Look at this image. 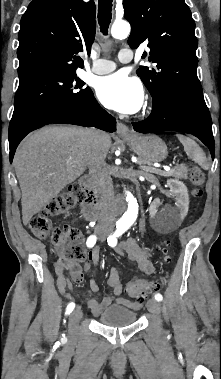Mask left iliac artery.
Wrapping results in <instances>:
<instances>
[{"label": "left iliac artery", "instance_id": "left-iliac-artery-1", "mask_svg": "<svg viewBox=\"0 0 221 379\" xmlns=\"http://www.w3.org/2000/svg\"><path fill=\"white\" fill-rule=\"evenodd\" d=\"M125 231L126 229L124 227H117V230L108 237L107 239L108 245L111 247H115L117 245V238L121 236ZM154 298L157 301L163 300V296L160 293H156Z\"/></svg>", "mask_w": 221, "mask_h": 379}]
</instances>
